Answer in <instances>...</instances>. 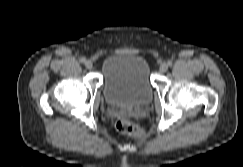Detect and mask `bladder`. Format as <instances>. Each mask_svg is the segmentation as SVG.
<instances>
[{"label":"bladder","mask_w":243,"mask_h":167,"mask_svg":"<svg viewBox=\"0 0 243 167\" xmlns=\"http://www.w3.org/2000/svg\"><path fill=\"white\" fill-rule=\"evenodd\" d=\"M103 94L108 105L136 109L152 102L153 88L146 60L131 53L108 56L102 64Z\"/></svg>","instance_id":"bladder-1"}]
</instances>
